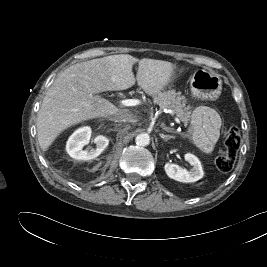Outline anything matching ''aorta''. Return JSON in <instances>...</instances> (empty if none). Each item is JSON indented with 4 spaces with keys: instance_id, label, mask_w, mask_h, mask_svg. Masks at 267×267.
I'll return each mask as SVG.
<instances>
[{
    "instance_id": "762f6f07",
    "label": "aorta",
    "mask_w": 267,
    "mask_h": 267,
    "mask_svg": "<svg viewBox=\"0 0 267 267\" xmlns=\"http://www.w3.org/2000/svg\"><path fill=\"white\" fill-rule=\"evenodd\" d=\"M135 141L138 146H147L150 143V137L147 133H141L136 136Z\"/></svg>"
}]
</instances>
